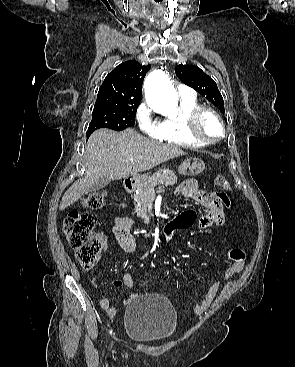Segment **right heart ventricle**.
<instances>
[{"label": "right heart ventricle", "mask_w": 295, "mask_h": 367, "mask_svg": "<svg viewBox=\"0 0 295 367\" xmlns=\"http://www.w3.org/2000/svg\"><path fill=\"white\" fill-rule=\"evenodd\" d=\"M197 106H199V104L196 98L180 99L178 115L166 118L162 121V134L158 139L168 144L181 147H203L204 144L196 141L190 136L186 127V118L188 114Z\"/></svg>", "instance_id": "right-heart-ventricle-1"}]
</instances>
